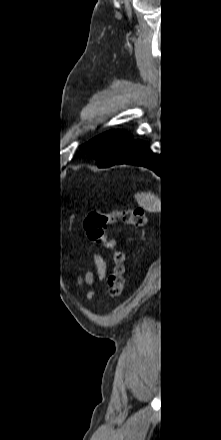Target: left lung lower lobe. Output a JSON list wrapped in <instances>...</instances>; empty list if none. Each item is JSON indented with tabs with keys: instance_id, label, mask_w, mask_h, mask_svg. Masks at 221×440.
Instances as JSON below:
<instances>
[{
	"instance_id": "obj_1",
	"label": "left lung lower lobe",
	"mask_w": 221,
	"mask_h": 440,
	"mask_svg": "<svg viewBox=\"0 0 221 440\" xmlns=\"http://www.w3.org/2000/svg\"><path fill=\"white\" fill-rule=\"evenodd\" d=\"M116 164L143 166L153 170L155 173L161 176L164 172L162 163L160 164L156 154L150 150L149 143L134 138L132 139L123 157L113 165Z\"/></svg>"
}]
</instances>
